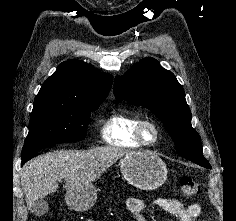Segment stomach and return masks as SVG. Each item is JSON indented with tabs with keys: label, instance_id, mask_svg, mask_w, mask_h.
I'll list each match as a JSON object with an SVG mask.
<instances>
[{
	"label": "stomach",
	"instance_id": "1",
	"mask_svg": "<svg viewBox=\"0 0 236 221\" xmlns=\"http://www.w3.org/2000/svg\"><path fill=\"white\" fill-rule=\"evenodd\" d=\"M124 178L140 190L151 191L159 188L167 178V168L162 159L150 151L131 152L120 160ZM97 199V190L91 184L77 190H69L65 200L76 211L88 210Z\"/></svg>",
	"mask_w": 236,
	"mask_h": 221
}]
</instances>
